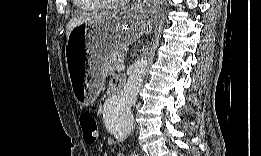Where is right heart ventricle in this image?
<instances>
[{
	"label": "right heart ventricle",
	"instance_id": "1",
	"mask_svg": "<svg viewBox=\"0 0 261 156\" xmlns=\"http://www.w3.org/2000/svg\"><path fill=\"white\" fill-rule=\"evenodd\" d=\"M82 1H85V0H79V2H82Z\"/></svg>",
	"mask_w": 261,
	"mask_h": 156
}]
</instances>
